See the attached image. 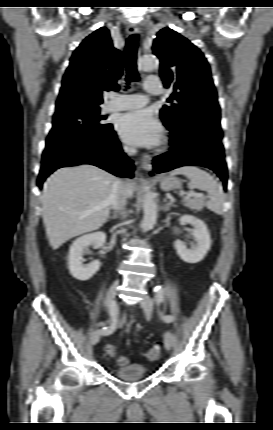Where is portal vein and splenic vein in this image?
Returning a JSON list of instances; mask_svg holds the SVG:
<instances>
[{
    "label": "portal vein and splenic vein",
    "instance_id": "portal-vein-and-splenic-vein-1",
    "mask_svg": "<svg viewBox=\"0 0 273 430\" xmlns=\"http://www.w3.org/2000/svg\"><path fill=\"white\" fill-rule=\"evenodd\" d=\"M192 196H196V197H204V194L202 193H194V192H189L186 194L185 198H190Z\"/></svg>",
    "mask_w": 273,
    "mask_h": 430
}]
</instances>
